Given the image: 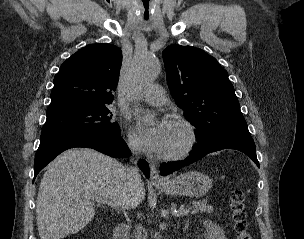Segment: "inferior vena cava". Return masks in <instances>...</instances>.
Returning a JSON list of instances; mask_svg holds the SVG:
<instances>
[{"instance_id": "1", "label": "inferior vena cava", "mask_w": 304, "mask_h": 239, "mask_svg": "<svg viewBox=\"0 0 304 239\" xmlns=\"http://www.w3.org/2000/svg\"><path fill=\"white\" fill-rule=\"evenodd\" d=\"M129 147L133 154L137 155L139 153L137 146L129 144ZM136 162L137 161L134 160V165L127 167L125 170V176L130 187L138 184L141 181V176L139 174L138 167L136 166Z\"/></svg>"}]
</instances>
